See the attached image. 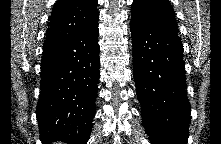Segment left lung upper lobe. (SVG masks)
<instances>
[{"mask_svg": "<svg viewBox=\"0 0 221 144\" xmlns=\"http://www.w3.org/2000/svg\"><path fill=\"white\" fill-rule=\"evenodd\" d=\"M132 18L146 27L177 33L174 10L168 0H134Z\"/></svg>", "mask_w": 221, "mask_h": 144, "instance_id": "5c2ea615", "label": "left lung upper lobe"}]
</instances>
